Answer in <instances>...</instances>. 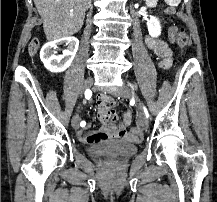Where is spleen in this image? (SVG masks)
I'll return each instance as SVG.
<instances>
[{"label": "spleen", "mask_w": 217, "mask_h": 202, "mask_svg": "<svg viewBox=\"0 0 217 202\" xmlns=\"http://www.w3.org/2000/svg\"><path fill=\"white\" fill-rule=\"evenodd\" d=\"M165 5H179V0H165Z\"/></svg>", "instance_id": "1"}]
</instances>
